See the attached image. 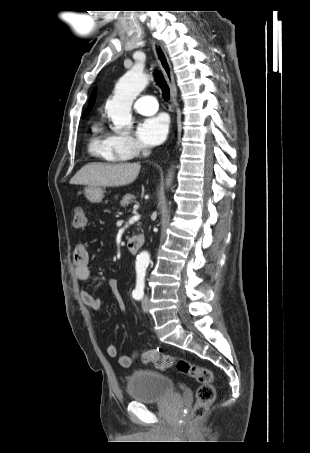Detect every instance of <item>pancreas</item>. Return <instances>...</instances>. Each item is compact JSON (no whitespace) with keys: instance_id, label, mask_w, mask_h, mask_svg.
I'll return each instance as SVG.
<instances>
[{"instance_id":"obj_1","label":"pancreas","mask_w":310,"mask_h":453,"mask_svg":"<svg viewBox=\"0 0 310 453\" xmlns=\"http://www.w3.org/2000/svg\"><path fill=\"white\" fill-rule=\"evenodd\" d=\"M133 199H134V195L132 194H126L123 199L120 201V205L122 207H126V206H129V204H131L133 202Z\"/></svg>"}]
</instances>
